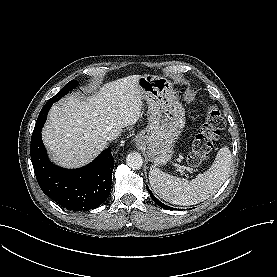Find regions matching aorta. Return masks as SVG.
<instances>
[{
	"label": "aorta",
	"mask_w": 277,
	"mask_h": 277,
	"mask_svg": "<svg viewBox=\"0 0 277 277\" xmlns=\"http://www.w3.org/2000/svg\"><path fill=\"white\" fill-rule=\"evenodd\" d=\"M126 164L133 170H138L143 165V158L140 153L134 151L127 155Z\"/></svg>",
	"instance_id": "762f6f07"
}]
</instances>
